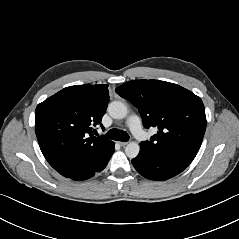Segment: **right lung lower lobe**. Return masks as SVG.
<instances>
[{
	"instance_id": "obj_1",
	"label": "right lung lower lobe",
	"mask_w": 239,
	"mask_h": 239,
	"mask_svg": "<svg viewBox=\"0 0 239 239\" xmlns=\"http://www.w3.org/2000/svg\"><path fill=\"white\" fill-rule=\"evenodd\" d=\"M114 145L115 144L113 142V144L108 149L107 154L104 155V157L97 163L91 166L85 167L81 170L71 172L69 175H66L65 177L71 178L73 180H85L94 176L95 173L102 171L108 164V161L110 160L112 154L115 151Z\"/></svg>"
}]
</instances>
